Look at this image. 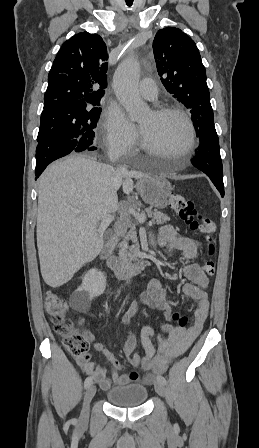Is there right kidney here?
<instances>
[{"label":"right kidney","instance_id":"ca27d5eb","mask_svg":"<svg viewBox=\"0 0 259 448\" xmlns=\"http://www.w3.org/2000/svg\"><path fill=\"white\" fill-rule=\"evenodd\" d=\"M106 288V278L98 270H88L82 282V286L73 292L70 298V306L78 312H87L93 298L104 294Z\"/></svg>","mask_w":259,"mask_h":448}]
</instances>
